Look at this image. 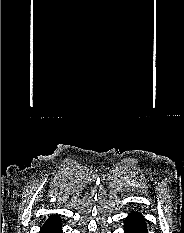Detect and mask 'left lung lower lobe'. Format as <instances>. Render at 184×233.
I'll use <instances>...</instances> for the list:
<instances>
[{
    "instance_id": "0a47b994",
    "label": "left lung lower lobe",
    "mask_w": 184,
    "mask_h": 233,
    "mask_svg": "<svg viewBox=\"0 0 184 233\" xmlns=\"http://www.w3.org/2000/svg\"><path fill=\"white\" fill-rule=\"evenodd\" d=\"M124 233H148L144 217L132 211L124 220Z\"/></svg>"
}]
</instances>
